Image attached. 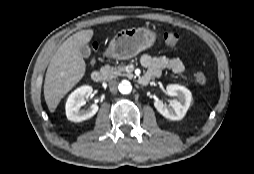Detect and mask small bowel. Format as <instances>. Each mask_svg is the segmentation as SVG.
I'll return each instance as SVG.
<instances>
[{
    "label": "small bowel",
    "instance_id": "c3829d8e",
    "mask_svg": "<svg viewBox=\"0 0 254 174\" xmlns=\"http://www.w3.org/2000/svg\"><path fill=\"white\" fill-rule=\"evenodd\" d=\"M143 67L146 68L144 76L152 78L160 76L164 69H170L174 73L181 74L185 71V66L181 60L169 57H153L148 54H143L140 58Z\"/></svg>",
    "mask_w": 254,
    "mask_h": 174
}]
</instances>
